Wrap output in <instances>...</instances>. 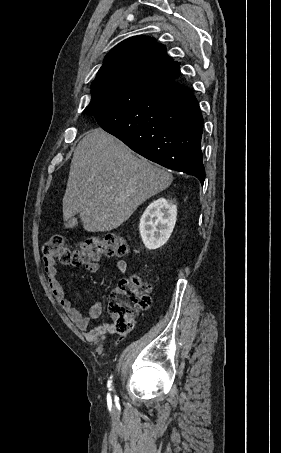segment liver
<instances>
[{
  "label": "liver",
  "mask_w": 281,
  "mask_h": 453,
  "mask_svg": "<svg viewBox=\"0 0 281 453\" xmlns=\"http://www.w3.org/2000/svg\"><path fill=\"white\" fill-rule=\"evenodd\" d=\"M172 174L102 128L77 144L63 196V220L78 214L88 233L118 229L139 204L167 188Z\"/></svg>",
  "instance_id": "liver-1"
}]
</instances>
